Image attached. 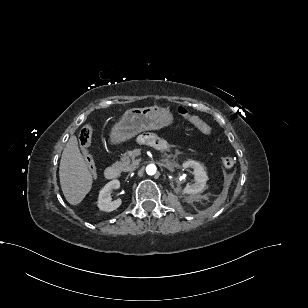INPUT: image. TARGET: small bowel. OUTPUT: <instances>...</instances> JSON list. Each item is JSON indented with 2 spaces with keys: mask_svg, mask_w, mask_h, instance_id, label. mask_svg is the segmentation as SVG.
Masks as SVG:
<instances>
[{
  "mask_svg": "<svg viewBox=\"0 0 308 308\" xmlns=\"http://www.w3.org/2000/svg\"><path fill=\"white\" fill-rule=\"evenodd\" d=\"M140 143L145 145L154 146L157 148H162L165 146V143L162 139L156 136L154 133H143L138 137Z\"/></svg>",
  "mask_w": 308,
  "mask_h": 308,
  "instance_id": "c3829d8e",
  "label": "small bowel"
}]
</instances>
